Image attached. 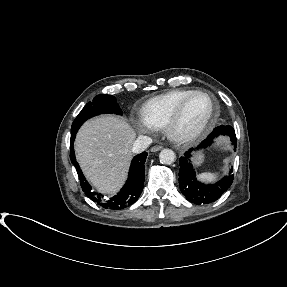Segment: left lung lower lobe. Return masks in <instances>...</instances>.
I'll use <instances>...</instances> for the list:
<instances>
[{
	"label": "left lung lower lobe",
	"instance_id": "obj_1",
	"mask_svg": "<svg viewBox=\"0 0 287 287\" xmlns=\"http://www.w3.org/2000/svg\"><path fill=\"white\" fill-rule=\"evenodd\" d=\"M219 135H227L231 138V141L236 148L237 141L234 129L231 126H219L214 128L211 134L201 142L196 149H189L182 156L180 161L179 170V186L180 190L186 198L195 204H208L216 201L221 195L231 186L233 182V169L227 176L214 184H204L197 180L196 173L194 171L191 157L193 152L204 150L212 144L213 140Z\"/></svg>",
	"mask_w": 287,
	"mask_h": 287
}]
</instances>
